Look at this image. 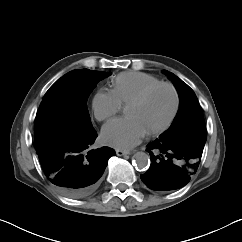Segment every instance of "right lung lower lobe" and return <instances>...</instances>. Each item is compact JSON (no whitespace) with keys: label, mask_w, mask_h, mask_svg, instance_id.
<instances>
[{"label":"right lung lower lobe","mask_w":242,"mask_h":242,"mask_svg":"<svg viewBox=\"0 0 242 242\" xmlns=\"http://www.w3.org/2000/svg\"><path fill=\"white\" fill-rule=\"evenodd\" d=\"M97 137L91 127H52L35 135L34 146L48 180L72 198L91 196L98 188L108 160L109 147L92 149Z\"/></svg>","instance_id":"98d812e1"}]
</instances>
